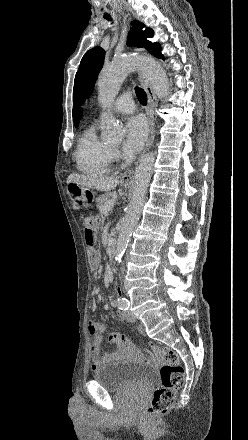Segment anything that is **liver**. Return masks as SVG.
Masks as SVG:
<instances>
[{
  "label": "liver",
  "instance_id": "6515ba94",
  "mask_svg": "<svg viewBox=\"0 0 248 440\" xmlns=\"http://www.w3.org/2000/svg\"><path fill=\"white\" fill-rule=\"evenodd\" d=\"M70 183H77L100 191H110L119 184V178L94 176V175H81V174L73 173L70 174L67 178V184Z\"/></svg>",
  "mask_w": 248,
  "mask_h": 440
}]
</instances>
